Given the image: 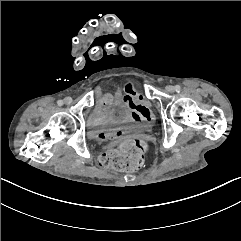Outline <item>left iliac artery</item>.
Here are the masks:
<instances>
[{
    "instance_id": "obj_1",
    "label": "left iliac artery",
    "mask_w": 241,
    "mask_h": 241,
    "mask_svg": "<svg viewBox=\"0 0 241 241\" xmlns=\"http://www.w3.org/2000/svg\"><path fill=\"white\" fill-rule=\"evenodd\" d=\"M175 90H176L177 92H179V91L181 90V86H180V85H176V86H175Z\"/></svg>"
}]
</instances>
